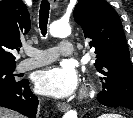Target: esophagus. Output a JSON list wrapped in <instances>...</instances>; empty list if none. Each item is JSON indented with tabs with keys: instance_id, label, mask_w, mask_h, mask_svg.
Segmentation results:
<instances>
[{
	"instance_id": "34e87169",
	"label": "esophagus",
	"mask_w": 133,
	"mask_h": 118,
	"mask_svg": "<svg viewBox=\"0 0 133 118\" xmlns=\"http://www.w3.org/2000/svg\"><path fill=\"white\" fill-rule=\"evenodd\" d=\"M49 2L53 9H55L58 6V0H49ZM57 106L61 112H65L70 108V105L67 103H58Z\"/></svg>"
}]
</instances>
